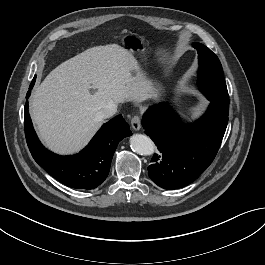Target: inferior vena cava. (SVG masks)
Returning a JSON list of instances; mask_svg holds the SVG:
<instances>
[{
  "label": "inferior vena cava",
  "mask_w": 265,
  "mask_h": 265,
  "mask_svg": "<svg viewBox=\"0 0 265 265\" xmlns=\"http://www.w3.org/2000/svg\"><path fill=\"white\" fill-rule=\"evenodd\" d=\"M117 112V105L111 103L107 105L104 109L98 112V117L100 119H106L112 117Z\"/></svg>",
  "instance_id": "602c4592"
}]
</instances>
